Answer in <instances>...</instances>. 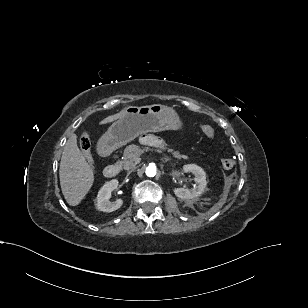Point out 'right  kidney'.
<instances>
[{"instance_id": "right-kidney-1", "label": "right kidney", "mask_w": 308, "mask_h": 308, "mask_svg": "<svg viewBox=\"0 0 308 308\" xmlns=\"http://www.w3.org/2000/svg\"><path fill=\"white\" fill-rule=\"evenodd\" d=\"M118 187V180L113 179L106 182L99 190L97 195L96 207L98 210L103 212H113L119 209L123 205L122 199H117L114 202H110L111 191L115 190Z\"/></svg>"}]
</instances>
